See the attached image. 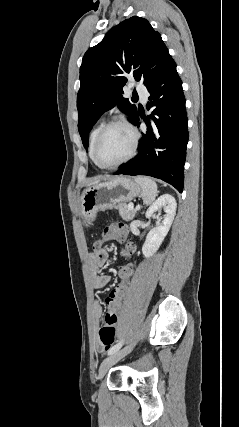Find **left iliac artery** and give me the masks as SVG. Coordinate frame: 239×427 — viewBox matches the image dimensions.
Masks as SVG:
<instances>
[{"mask_svg":"<svg viewBox=\"0 0 239 427\" xmlns=\"http://www.w3.org/2000/svg\"><path fill=\"white\" fill-rule=\"evenodd\" d=\"M123 343H124V341L122 340V341L118 342L116 345H114L109 350L108 355H111V354L115 353L116 351H118L122 347Z\"/></svg>","mask_w":239,"mask_h":427,"instance_id":"44dca946","label":"left iliac artery"}]
</instances>
